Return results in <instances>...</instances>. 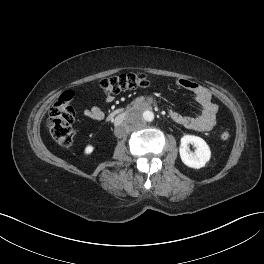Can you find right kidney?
<instances>
[{"mask_svg":"<svg viewBox=\"0 0 264 264\" xmlns=\"http://www.w3.org/2000/svg\"><path fill=\"white\" fill-rule=\"evenodd\" d=\"M93 150H94V147L92 145H88L85 148V154H87V155L91 154L93 152Z\"/></svg>","mask_w":264,"mask_h":264,"instance_id":"ca27d5eb","label":"right kidney"}]
</instances>
